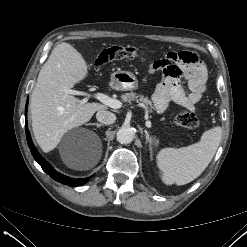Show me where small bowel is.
Instances as JSON below:
<instances>
[{
  "label": "small bowel",
  "mask_w": 247,
  "mask_h": 247,
  "mask_svg": "<svg viewBox=\"0 0 247 247\" xmlns=\"http://www.w3.org/2000/svg\"><path fill=\"white\" fill-rule=\"evenodd\" d=\"M156 70L163 71V79L153 94L157 111L164 112L171 102L194 110L206 91L207 80L206 68L198 57L185 51L168 52L153 63L151 71Z\"/></svg>",
  "instance_id": "obj_1"
}]
</instances>
